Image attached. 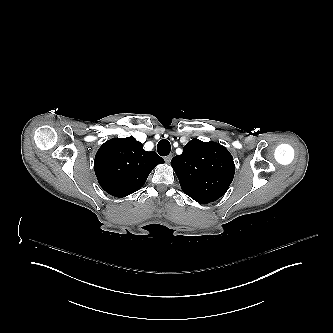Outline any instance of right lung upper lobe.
Listing matches in <instances>:
<instances>
[{
    "instance_id": "right-lung-upper-lobe-1",
    "label": "right lung upper lobe",
    "mask_w": 333,
    "mask_h": 333,
    "mask_svg": "<svg viewBox=\"0 0 333 333\" xmlns=\"http://www.w3.org/2000/svg\"><path fill=\"white\" fill-rule=\"evenodd\" d=\"M162 163L161 157L145 151L131 136L106 141L96 153L94 169L101 187L121 198L139 190L154 167Z\"/></svg>"
}]
</instances>
